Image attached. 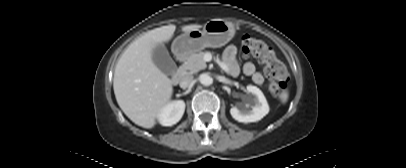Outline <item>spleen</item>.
<instances>
[{
    "mask_svg": "<svg viewBox=\"0 0 406 168\" xmlns=\"http://www.w3.org/2000/svg\"><path fill=\"white\" fill-rule=\"evenodd\" d=\"M288 97H289V95H288V92H287V91H283V92L280 94V96H279V98H280V100H281V102H282L283 104H285V103L287 102Z\"/></svg>",
    "mask_w": 406,
    "mask_h": 168,
    "instance_id": "1",
    "label": "spleen"
}]
</instances>
